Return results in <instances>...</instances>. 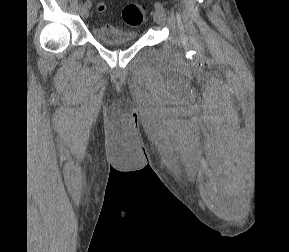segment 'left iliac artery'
<instances>
[{
    "label": "left iliac artery",
    "instance_id": "1",
    "mask_svg": "<svg viewBox=\"0 0 289 252\" xmlns=\"http://www.w3.org/2000/svg\"><path fill=\"white\" fill-rule=\"evenodd\" d=\"M154 7H155L156 9H159V10L163 11V12L165 11L163 4L160 3V2H156V3L154 4Z\"/></svg>",
    "mask_w": 289,
    "mask_h": 252
}]
</instances>
